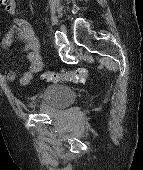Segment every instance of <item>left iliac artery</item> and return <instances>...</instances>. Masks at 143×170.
Listing matches in <instances>:
<instances>
[{
	"label": "left iliac artery",
	"instance_id": "44dca946",
	"mask_svg": "<svg viewBox=\"0 0 143 170\" xmlns=\"http://www.w3.org/2000/svg\"><path fill=\"white\" fill-rule=\"evenodd\" d=\"M55 39L57 45H64L68 43L66 35L58 30L55 32Z\"/></svg>",
	"mask_w": 143,
	"mask_h": 170
}]
</instances>
